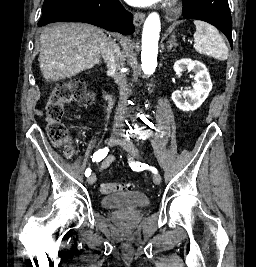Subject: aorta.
I'll return each mask as SVG.
<instances>
[{"instance_id": "1", "label": "aorta", "mask_w": 256, "mask_h": 267, "mask_svg": "<svg viewBox=\"0 0 256 267\" xmlns=\"http://www.w3.org/2000/svg\"><path fill=\"white\" fill-rule=\"evenodd\" d=\"M161 32V20L157 12H152L146 18L142 32V52H141V66L143 72L153 74L157 66L158 44ZM145 38L146 48L143 54V40ZM155 54V56H154Z\"/></svg>"}]
</instances>
